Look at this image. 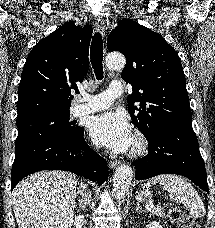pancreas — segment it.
I'll return each mask as SVG.
<instances>
[{
  "instance_id": "1",
  "label": "pancreas",
  "mask_w": 215,
  "mask_h": 228,
  "mask_svg": "<svg viewBox=\"0 0 215 228\" xmlns=\"http://www.w3.org/2000/svg\"><path fill=\"white\" fill-rule=\"evenodd\" d=\"M153 216H158V218H166L167 214L163 208H154V210H150Z\"/></svg>"
}]
</instances>
